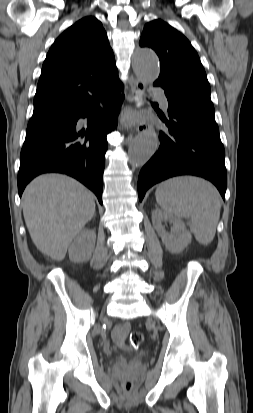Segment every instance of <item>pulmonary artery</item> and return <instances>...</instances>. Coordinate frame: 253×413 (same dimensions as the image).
<instances>
[{
    "label": "pulmonary artery",
    "instance_id": "obj_1",
    "mask_svg": "<svg viewBox=\"0 0 253 413\" xmlns=\"http://www.w3.org/2000/svg\"><path fill=\"white\" fill-rule=\"evenodd\" d=\"M154 93L158 97L161 106L164 109H167L168 108V100H167V97L165 96L164 92L161 89L156 88V89H154Z\"/></svg>",
    "mask_w": 253,
    "mask_h": 413
}]
</instances>
